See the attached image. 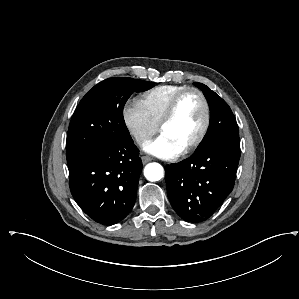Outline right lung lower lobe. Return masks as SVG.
I'll return each mask as SVG.
<instances>
[{
    "mask_svg": "<svg viewBox=\"0 0 299 299\" xmlns=\"http://www.w3.org/2000/svg\"><path fill=\"white\" fill-rule=\"evenodd\" d=\"M142 167L132 138L97 150L69 167L71 193L93 220L114 224L134 206Z\"/></svg>",
    "mask_w": 299,
    "mask_h": 299,
    "instance_id": "98d812e1",
    "label": "right lung lower lobe"
}]
</instances>
